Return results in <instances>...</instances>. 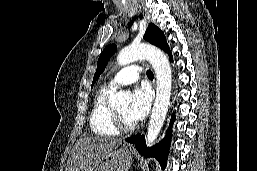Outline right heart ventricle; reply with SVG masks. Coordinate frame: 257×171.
<instances>
[{
    "instance_id": "right-heart-ventricle-1",
    "label": "right heart ventricle",
    "mask_w": 257,
    "mask_h": 171,
    "mask_svg": "<svg viewBox=\"0 0 257 171\" xmlns=\"http://www.w3.org/2000/svg\"><path fill=\"white\" fill-rule=\"evenodd\" d=\"M113 92L114 88L105 85L95 95L89 114V125L96 135L113 137L119 134L114 125L113 109L109 103Z\"/></svg>"
}]
</instances>
